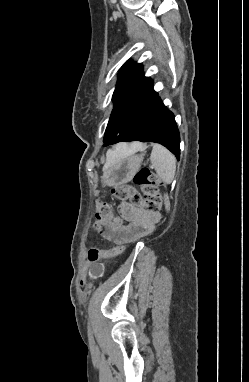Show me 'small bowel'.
Here are the masks:
<instances>
[{
    "label": "small bowel",
    "instance_id": "small-bowel-1",
    "mask_svg": "<svg viewBox=\"0 0 249 382\" xmlns=\"http://www.w3.org/2000/svg\"><path fill=\"white\" fill-rule=\"evenodd\" d=\"M119 211L126 225L116 223L111 217L96 216L95 220L96 230L113 243L135 241L150 234L162 218L158 213L148 212L126 202L120 204Z\"/></svg>",
    "mask_w": 249,
    "mask_h": 382
}]
</instances>
